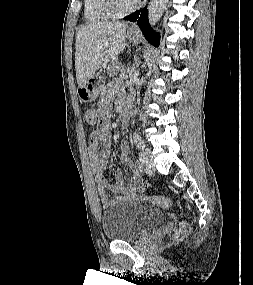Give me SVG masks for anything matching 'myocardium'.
<instances>
[{"mask_svg": "<svg viewBox=\"0 0 253 285\" xmlns=\"http://www.w3.org/2000/svg\"><path fill=\"white\" fill-rule=\"evenodd\" d=\"M104 7L114 16L122 17L133 11H135L139 5V2L136 1L133 5L127 8L120 6L118 0H102Z\"/></svg>", "mask_w": 253, "mask_h": 285, "instance_id": "obj_1", "label": "myocardium"}]
</instances>
